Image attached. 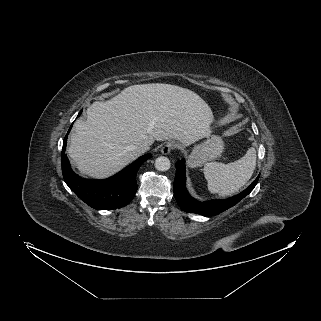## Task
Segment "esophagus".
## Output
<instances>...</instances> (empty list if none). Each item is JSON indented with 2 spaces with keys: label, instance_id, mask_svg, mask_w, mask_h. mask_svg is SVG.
Here are the masks:
<instances>
[{
  "label": "esophagus",
  "instance_id": "esophagus-1",
  "mask_svg": "<svg viewBox=\"0 0 321 321\" xmlns=\"http://www.w3.org/2000/svg\"><path fill=\"white\" fill-rule=\"evenodd\" d=\"M177 147V143L170 141L167 142L161 149V153L164 155L169 154L173 149H175Z\"/></svg>",
  "mask_w": 321,
  "mask_h": 321
}]
</instances>
